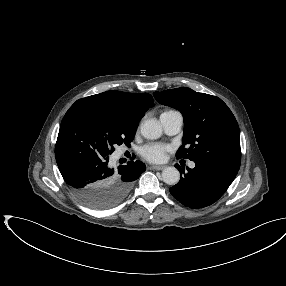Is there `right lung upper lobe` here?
<instances>
[{
	"label": "right lung upper lobe",
	"mask_w": 286,
	"mask_h": 286,
	"mask_svg": "<svg viewBox=\"0 0 286 286\" xmlns=\"http://www.w3.org/2000/svg\"><path fill=\"white\" fill-rule=\"evenodd\" d=\"M80 100L106 105L121 114L136 128L145 112L154 106V100L148 93L107 91Z\"/></svg>",
	"instance_id": "cb5924a9"
}]
</instances>
